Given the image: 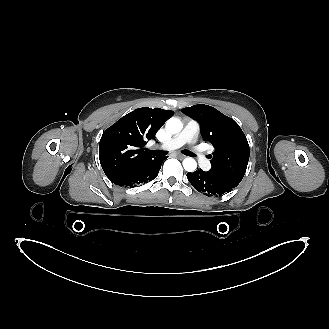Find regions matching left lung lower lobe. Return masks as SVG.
<instances>
[{
	"label": "left lung lower lobe",
	"mask_w": 329,
	"mask_h": 329,
	"mask_svg": "<svg viewBox=\"0 0 329 329\" xmlns=\"http://www.w3.org/2000/svg\"><path fill=\"white\" fill-rule=\"evenodd\" d=\"M187 178L197 191L207 196H221L236 187L231 182L202 169L193 173H187Z\"/></svg>",
	"instance_id": "obj_1"
}]
</instances>
